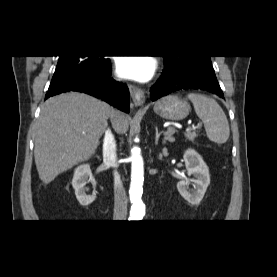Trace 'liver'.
Segmentation results:
<instances>
[{
    "instance_id": "obj_1",
    "label": "liver",
    "mask_w": 277,
    "mask_h": 277,
    "mask_svg": "<svg viewBox=\"0 0 277 277\" xmlns=\"http://www.w3.org/2000/svg\"><path fill=\"white\" fill-rule=\"evenodd\" d=\"M111 119L117 133H125L124 113L83 93L49 98L42 106L35 133L34 158L40 180L52 182L59 174L88 160Z\"/></svg>"
}]
</instances>
